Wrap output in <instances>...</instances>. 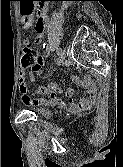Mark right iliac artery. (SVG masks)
<instances>
[{"label": "right iliac artery", "instance_id": "82829eb1", "mask_svg": "<svg viewBox=\"0 0 123 167\" xmlns=\"http://www.w3.org/2000/svg\"><path fill=\"white\" fill-rule=\"evenodd\" d=\"M60 53H61V49L59 48L57 49V54L60 55Z\"/></svg>", "mask_w": 123, "mask_h": 167}]
</instances>
